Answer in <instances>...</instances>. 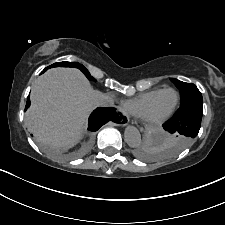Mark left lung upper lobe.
<instances>
[{
    "mask_svg": "<svg viewBox=\"0 0 225 225\" xmlns=\"http://www.w3.org/2000/svg\"><path fill=\"white\" fill-rule=\"evenodd\" d=\"M172 82L179 88L181 93V104L177 112L183 111L194 106H203V98L201 92L196 85L192 83H185L172 78ZM193 139L183 137L179 134H172L173 151H179L192 142ZM184 145V146H181Z\"/></svg>",
    "mask_w": 225,
    "mask_h": 225,
    "instance_id": "5c2ea615",
    "label": "left lung upper lobe"
}]
</instances>
